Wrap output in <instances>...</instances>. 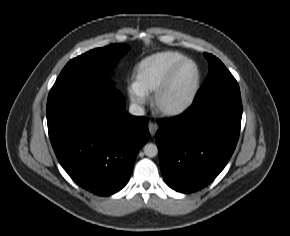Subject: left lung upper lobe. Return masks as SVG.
Wrapping results in <instances>:
<instances>
[{"instance_id": "obj_1", "label": "left lung upper lobe", "mask_w": 290, "mask_h": 236, "mask_svg": "<svg viewBox=\"0 0 290 236\" xmlns=\"http://www.w3.org/2000/svg\"><path fill=\"white\" fill-rule=\"evenodd\" d=\"M204 56L209 63V72L206 81L196 95V99L237 83L232 74L218 58L208 53H204Z\"/></svg>"}]
</instances>
